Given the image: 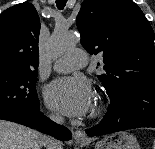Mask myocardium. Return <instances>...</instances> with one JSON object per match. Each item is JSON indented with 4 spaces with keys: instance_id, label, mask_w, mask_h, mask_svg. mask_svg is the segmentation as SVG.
<instances>
[{
    "instance_id": "f54148a6",
    "label": "myocardium",
    "mask_w": 155,
    "mask_h": 149,
    "mask_svg": "<svg viewBox=\"0 0 155 149\" xmlns=\"http://www.w3.org/2000/svg\"><path fill=\"white\" fill-rule=\"evenodd\" d=\"M98 113H99V108L96 107V108L93 110V112H92V116H96V115H98Z\"/></svg>"
}]
</instances>
